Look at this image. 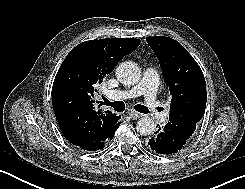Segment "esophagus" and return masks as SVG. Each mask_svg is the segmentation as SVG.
<instances>
[{
  "label": "esophagus",
  "instance_id": "esophagus-1",
  "mask_svg": "<svg viewBox=\"0 0 245 189\" xmlns=\"http://www.w3.org/2000/svg\"><path fill=\"white\" fill-rule=\"evenodd\" d=\"M128 115L130 116V118H132V119H138L139 117H141L142 116V114H140L139 112H136V111H134V110H129L128 111Z\"/></svg>",
  "mask_w": 245,
  "mask_h": 189
}]
</instances>
